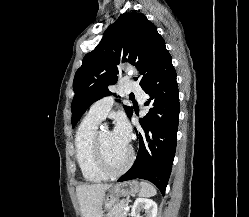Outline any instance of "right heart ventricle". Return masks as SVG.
<instances>
[{
	"mask_svg": "<svg viewBox=\"0 0 249 217\" xmlns=\"http://www.w3.org/2000/svg\"><path fill=\"white\" fill-rule=\"evenodd\" d=\"M100 120L89 116L83 118L76 131L74 145L75 157L83 178L91 183L102 182L107 179L97 163L94 138Z\"/></svg>",
	"mask_w": 249,
	"mask_h": 217,
	"instance_id": "right-heart-ventricle-1",
	"label": "right heart ventricle"
}]
</instances>
